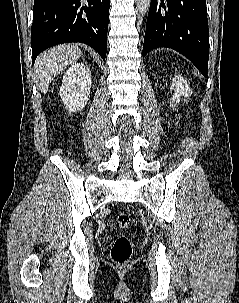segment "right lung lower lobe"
Masks as SVG:
<instances>
[{
  "mask_svg": "<svg viewBox=\"0 0 239 303\" xmlns=\"http://www.w3.org/2000/svg\"><path fill=\"white\" fill-rule=\"evenodd\" d=\"M110 0H34L32 63L49 47L82 42L105 60Z\"/></svg>",
  "mask_w": 239,
  "mask_h": 303,
  "instance_id": "right-lung-lower-lobe-1",
  "label": "right lung lower lobe"
}]
</instances>
